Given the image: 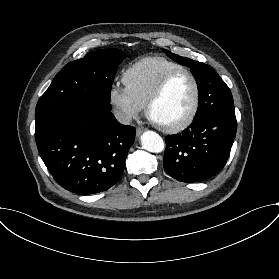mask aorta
Listing matches in <instances>:
<instances>
[{
  "mask_svg": "<svg viewBox=\"0 0 279 279\" xmlns=\"http://www.w3.org/2000/svg\"><path fill=\"white\" fill-rule=\"evenodd\" d=\"M142 147L153 153H160L164 150L165 143L162 137L154 131H146L141 136Z\"/></svg>",
  "mask_w": 279,
  "mask_h": 279,
  "instance_id": "aorta-1",
  "label": "aorta"
}]
</instances>
